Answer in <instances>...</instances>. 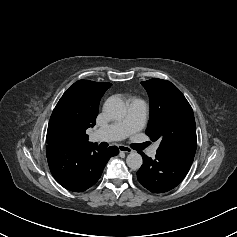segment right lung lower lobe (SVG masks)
<instances>
[{
    "label": "right lung lower lobe",
    "mask_w": 237,
    "mask_h": 237,
    "mask_svg": "<svg viewBox=\"0 0 237 237\" xmlns=\"http://www.w3.org/2000/svg\"><path fill=\"white\" fill-rule=\"evenodd\" d=\"M119 150L116 146L101 149L95 143L85 146L48 143L47 159L56 181L74 192H83L94 185L112 156Z\"/></svg>",
    "instance_id": "98d812e1"
}]
</instances>
